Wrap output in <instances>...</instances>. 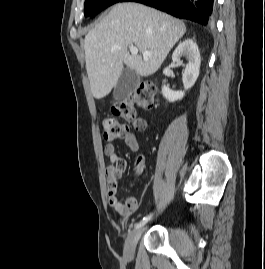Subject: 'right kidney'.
<instances>
[{"instance_id":"ca27d5eb","label":"right kidney","mask_w":265,"mask_h":269,"mask_svg":"<svg viewBox=\"0 0 265 269\" xmlns=\"http://www.w3.org/2000/svg\"><path fill=\"white\" fill-rule=\"evenodd\" d=\"M182 56H185L188 61L186 65L181 61ZM172 61L184 66L182 76L184 91H173L168 86L163 85L162 94L169 102L181 100L185 95V90L190 89L195 84L199 76L201 63L198 46L192 39L184 40L174 50Z\"/></svg>"}]
</instances>
